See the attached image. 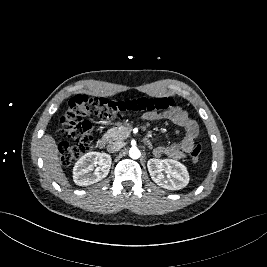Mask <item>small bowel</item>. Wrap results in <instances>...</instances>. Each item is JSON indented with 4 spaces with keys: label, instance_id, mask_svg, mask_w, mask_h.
Here are the masks:
<instances>
[{
    "label": "small bowel",
    "instance_id": "1",
    "mask_svg": "<svg viewBox=\"0 0 267 267\" xmlns=\"http://www.w3.org/2000/svg\"><path fill=\"white\" fill-rule=\"evenodd\" d=\"M160 116H151L152 119H157ZM164 119L182 127L184 129L183 138L176 143L168 145H157L153 151L156 156H167L172 159H183L194 147L199 128L196 121L188 114L187 111L177 107L166 112L163 116ZM146 145L152 147V142L149 138L145 140Z\"/></svg>",
    "mask_w": 267,
    "mask_h": 267
}]
</instances>
